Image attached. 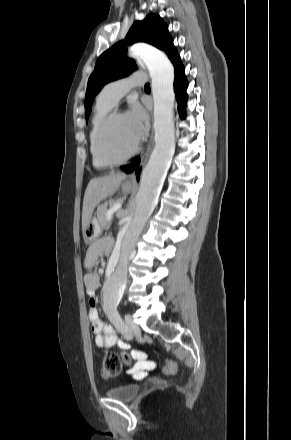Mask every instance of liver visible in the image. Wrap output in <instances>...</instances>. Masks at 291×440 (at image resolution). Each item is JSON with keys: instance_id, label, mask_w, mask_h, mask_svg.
I'll use <instances>...</instances> for the list:
<instances>
[{"instance_id": "obj_1", "label": "liver", "mask_w": 291, "mask_h": 440, "mask_svg": "<svg viewBox=\"0 0 291 440\" xmlns=\"http://www.w3.org/2000/svg\"><path fill=\"white\" fill-rule=\"evenodd\" d=\"M125 178L126 175L123 173H114L90 180L83 200L82 230L87 227L95 207L102 200L113 195Z\"/></svg>"}]
</instances>
